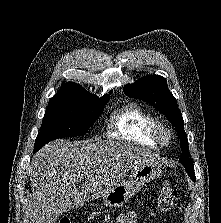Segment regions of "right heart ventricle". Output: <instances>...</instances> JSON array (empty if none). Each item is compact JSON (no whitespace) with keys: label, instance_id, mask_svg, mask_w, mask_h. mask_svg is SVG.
Here are the masks:
<instances>
[{"label":"right heart ventricle","instance_id":"e07e8e85","mask_svg":"<svg viewBox=\"0 0 221 223\" xmlns=\"http://www.w3.org/2000/svg\"><path fill=\"white\" fill-rule=\"evenodd\" d=\"M156 121V116L149 109L131 102L112 112L107 135L112 139L158 148L159 145L149 135Z\"/></svg>","mask_w":221,"mask_h":223}]
</instances>
